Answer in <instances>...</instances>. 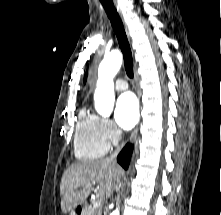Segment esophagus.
Listing matches in <instances>:
<instances>
[{"label":"esophagus","instance_id":"34e87169","mask_svg":"<svg viewBox=\"0 0 221 215\" xmlns=\"http://www.w3.org/2000/svg\"><path fill=\"white\" fill-rule=\"evenodd\" d=\"M113 1H114V5H115V7H116L117 12H118L119 16H120L121 19H122V22H123V24H124L125 31H126V33H127V35H128V27H127V24H126V22H125V20H124V18H123V14H122L121 8H120V6H119V4L117 3L116 0H113ZM134 80L137 81V76H136V74H135ZM136 132H137V130L135 131V134H136Z\"/></svg>","mask_w":221,"mask_h":215}]
</instances>
